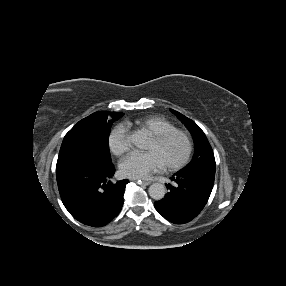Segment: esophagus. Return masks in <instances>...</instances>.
I'll return each mask as SVG.
<instances>
[{
    "label": "esophagus",
    "mask_w": 286,
    "mask_h": 286,
    "mask_svg": "<svg viewBox=\"0 0 286 286\" xmlns=\"http://www.w3.org/2000/svg\"><path fill=\"white\" fill-rule=\"evenodd\" d=\"M136 182L140 185H146V186L151 184V181H148V180H139Z\"/></svg>",
    "instance_id": "esophagus-1"
}]
</instances>
